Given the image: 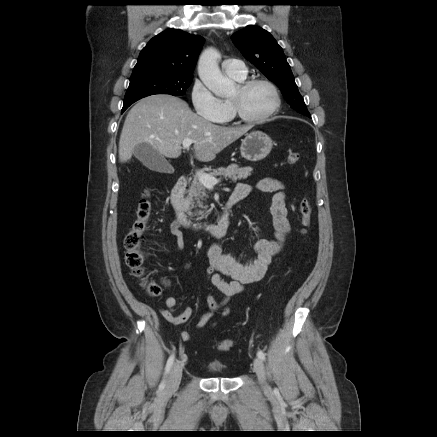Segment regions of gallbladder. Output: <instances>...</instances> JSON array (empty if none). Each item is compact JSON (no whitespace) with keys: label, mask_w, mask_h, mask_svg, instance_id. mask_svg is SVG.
Returning a JSON list of instances; mask_svg holds the SVG:
<instances>
[{"label":"gallbladder","mask_w":437,"mask_h":437,"mask_svg":"<svg viewBox=\"0 0 437 437\" xmlns=\"http://www.w3.org/2000/svg\"><path fill=\"white\" fill-rule=\"evenodd\" d=\"M134 156L148 169L156 172H166L169 164L150 144L141 143L134 148Z\"/></svg>","instance_id":"gallbladder-1"}]
</instances>
